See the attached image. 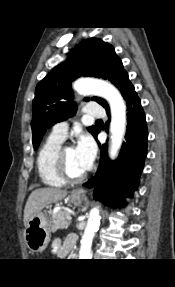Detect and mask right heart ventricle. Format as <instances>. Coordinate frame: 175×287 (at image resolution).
Instances as JSON below:
<instances>
[{
    "label": "right heart ventricle",
    "mask_w": 175,
    "mask_h": 287,
    "mask_svg": "<svg viewBox=\"0 0 175 287\" xmlns=\"http://www.w3.org/2000/svg\"><path fill=\"white\" fill-rule=\"evenodd\" d=\"M63 140L49 135L39 148L36 160L38 175L42 183L49 187L60 188L66 184L57 173L55 156Z\"/></svg>",
    "instance_id": "1"
}]
</instances>
